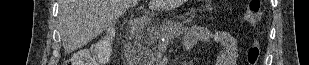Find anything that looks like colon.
Instances as JSON below:
<instances>
[{
	"instance_id": "colon-1",
	"label": "colon",
	"mask_w": 309,
	"mask_h": 65,
	"mask_svg": "<svg viewBox=\"0 0 309 65\" xmlns=\"http://www.w3.org/2000/svg\"><path fill=\"white\" fill-rule=\"evenodd\" d=\"M243 19L248 24H255L261 18V6L258 0H252L244 10ZM115 35L108 31L101 39L94 42L89 49L80 50L76 59L72 61L74 65H102L105 64L112 53V45ZM261 56V45L258 41H253L247 50L246 61L248 65H259Z\"/></svg>"
}]
</instances>
